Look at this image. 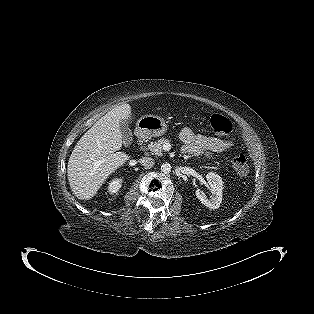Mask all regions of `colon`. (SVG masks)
<instances>
[{"label":"colon","instance_id":"colon-1","mask_svg":"<svg viewBox=\"0 0 314 314\" xmlns=\"http://www.w3.org/2000/svg\"><path fill=\"white\" fill-rule=\"evenodd\" d=\"M211 129L221 135H229L233 132V123L224 115L215 113L210 118ZM233 167L239 175L249 173V159L246 154H239L233 159Z\"/></svg>","mask_w":314,"mask_h":314}]
</instances>
